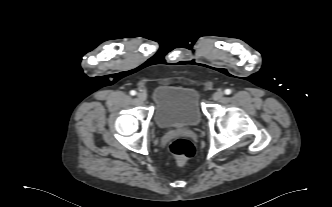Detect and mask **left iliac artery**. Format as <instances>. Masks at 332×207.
I'll return each instance as SVG.
<instances>
[{
  "label": "left iliac artery",
  "mask_w": 332,
  "mask_h": 207,
  "mask_svg": "<svg viewBox=\"0 0 332 207\" xmlns=\"http://www.w3.org/2000/svg\"><path fill=\"white\" fill-rule=\"evenodd\" d=\"M224 92H225L226 95L231 94V90L230 89H226Z\"/></svg>",
  "instance_id": "obj_1"
}]
</instances>
